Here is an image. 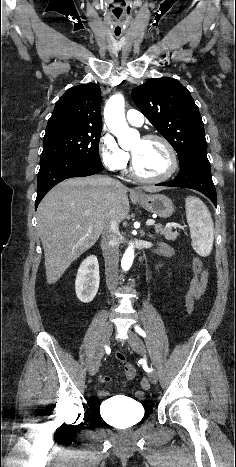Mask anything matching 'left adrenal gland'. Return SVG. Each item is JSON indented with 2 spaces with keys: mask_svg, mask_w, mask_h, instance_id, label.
Wrapping results in <instances>:
<instances>
[{
  "mask_svg": "<svg viewBox=\"0 0 236 467\" xmlns=\"http://www.w3.org/2000/svg\"><path fill=\"white\" fill-rule=\"evenodd\" d=\"M149 237H151L152 239H155L152 235H149Z\"/></svg>",
  "mask_w": 236,
  "mask_h": 467,
  "instance_id": "left-adrenal-gland-1",
  "label": "left adrenal gland"
}]
</instances>
